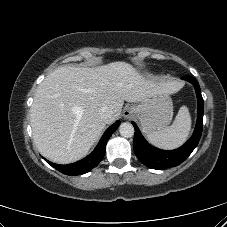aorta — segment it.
Returning <instances> with one entry per match:
<instances>
[{
  "instance_id": "aorta-1",
  "label": "aorta",
  "mask_w": 227,
  "mask_h": 227,
  "mask_svg": "<svg viewBox=\"0 0 227 227\" xmlns=\"http://www.w3.org/2000/svg\"><path fill=\"white\" fill-rule=\"evenodd\" d=\"M119 132L121 136L125 138H130L134 135V127L129 122H124L119 126Z\"/></svg>"
}]
</instances>
